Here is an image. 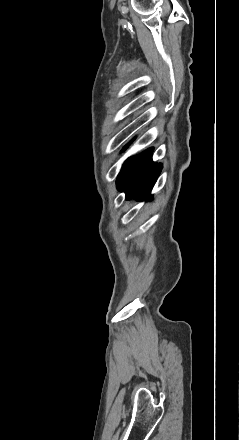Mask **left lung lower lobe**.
I'll list each match as a JSON object with an SVG mask.
<instances>
[{"mask_svg": "<svg viewBox=\"0 0 239 440\" xmlns=\"http://www.w3.org/2000/svg\"><path fill=\"white\" fill-rule=\"evenodd\" d=\"M152 153L153 148H149L125 162L117 177L116 184L118 190L126 193V199L151 198L150 192L162 169L161 164L152 162Z\"/></svg>", "mask_w": 239, "mask_h": 440, "instance_id": "0a47b994", "label": "left lung lower lobe"}]
</instances>
